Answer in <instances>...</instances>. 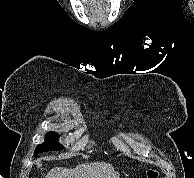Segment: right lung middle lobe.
Wrapping results in <instances>:
<instances>
[{
  "label": "right lung middle lobe",
  "mask_w": 194,
  "mask_h": 178,
  "mask_svg": "<svg viewBox=\"0 0 194 178\" xmlns=\"http://www.w3.org/2000/svg\"><path fill=\"white\" fill-rule=\"evenodd\" d=\"M58 138L56 133L49 132L45 137V142L36 147L34 155L44 151L62 150L64 147L57 142Z\"/></svg>",
  "instance_id": "dd1d6c3e"
}]
</instances>
